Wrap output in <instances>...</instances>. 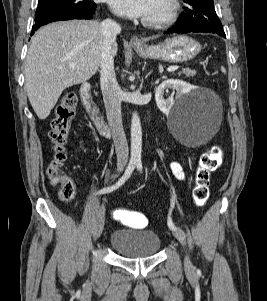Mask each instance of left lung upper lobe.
Returning <instances> with one entry per match:
<instances>
[{"label":"left lung upper lobe","instance_id":"5c2ea615","mask_svg":"<svg viewBox=\"0 0 267 301\" xmlns=\"http://www.w3.org/2000/svg\"><path fill=\"white\" fill-rule=\"evenodd\" d=\"M186 4L177 25L200 26L217 34L224 33L213 0H183Z\"/></svg>","mask_w":267,"mask_h":301}]
</instances>
